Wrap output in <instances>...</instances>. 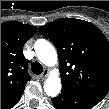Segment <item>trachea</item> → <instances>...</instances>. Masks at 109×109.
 <instances>
[{
  "label": "trachea",
  "instance_id": "1",
  "mask_svg": "<svg viewBox=\"0 0 109 109\" xmlns=\"http://www.w3.org/2000/svg\"><path fill=\"white\" fill-rule=\"evenodd\" d=\"M31 70L34 74L39 75L43 72V67L39 62H33L31 64Z\"/></svg>",
  "mask_w": 109,
  "mask_h": 109
}]
</instances>
